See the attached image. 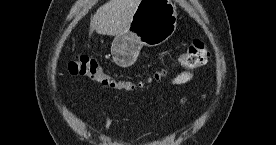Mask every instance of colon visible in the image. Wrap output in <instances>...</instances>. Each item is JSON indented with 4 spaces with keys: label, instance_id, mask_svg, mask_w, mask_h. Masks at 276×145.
<instances>
[{
    "label": "colon",
    "instance_id": "5ec220e1",
    "mask_svg": "<svg viewBox=\"0 0 276 145\" xmlns=\"http://www.w3.org/2000/svg\"><path fill=\"white\" fill-rule=\"evenodd\" d=\"M208 57L209 51L203 40L195 38L188 49L179 56L177 64L184 70H193L205 65ZM68 69L72 75L87 78L106 87L120 90L132 88L130 84L117 80L94 58L77 56L69 62ZM165 74L166 72L162 71L158 76L161 77Z\"/></svg>",
    "mask_w": 276,
    "mask_h": 145
}]
</instances>
